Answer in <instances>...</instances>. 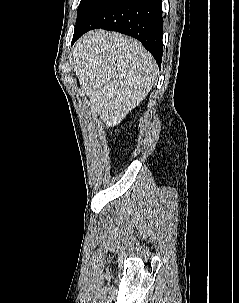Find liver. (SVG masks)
<instances>
[{
  "mask_svg": "<svg viewBox=\"0 0 239 303\" xmlns=\"http://www.w3.org/2000/svg\"><path fill=\"white\" fill-rule=\"evenodd\" d=\"M72 54L81 90L108 127L121 123L145 99L157 77L152 55L140 42L119 33L90 31Z\"/></svg>",
  "mask_w": 239,
  "mask_h": 303,
  "instance_id": "6515ba94",
  "label": "liver"
}]
</instances>
